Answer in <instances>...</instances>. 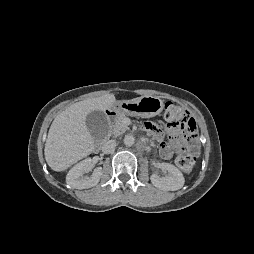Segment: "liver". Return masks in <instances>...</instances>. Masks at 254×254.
<instances>
[{
    "label": "liver",
    "instance_id": "obj_1",
    "mask_svg": "<svg viewBox=\"0 0 254 254\" xmlns=\"http://www.w3.org/2000/svg\"><path fill=\"white\" fill-rule=\"evenodd\" d=\"M115 103V96L106 94L74 103L55 117L44 149L52 170L64 171L93 151L94 139L87 129L86 117L95 110H109Z\"/></svg>",
    "mask_w": 254,
    "mask_h": 254
}]
</instances>
